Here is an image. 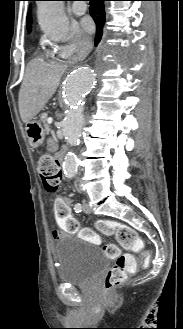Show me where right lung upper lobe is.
<instances>
[{
    "label": "right lung upper lobe",
    "instance_id": "cb5924a9",
    "mask_svg": "<svg viewBox=\"0 0 183 329\" xmlns=\"http://www.w3.org/2000/svg\"><path fill=\"white\" fill-rule=\"evenodd\" d=\"M27 22H28V31H30L31 30V16L30 15H28V17H27Z\"/></svg>",
    "mask_w": 183,
    "mask_h": 329
}]
</instances>
